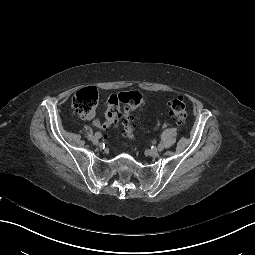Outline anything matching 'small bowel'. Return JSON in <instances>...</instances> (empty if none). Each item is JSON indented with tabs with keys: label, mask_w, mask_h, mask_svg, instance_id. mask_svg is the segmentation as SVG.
Returning a JSON list of instances; mask_svg holds the SVG:
<instances>
[{
	"label": "small bowel",
	"mask_w": 255,
	"mask_h": 255,
	"mask_svg": "<svg viewBox=\"0 0 255 255\" xmlns=\"http://www.w3.org/2000/svg\"><path fill=\"white\" fill-rule=\"evenodd\" d=\"M93 123H94V125H95V126H99V125H100V123H99V121H98V120H94V122H93Z\"/></svg>",
	"instance_id": "c3829d8e"
}]
</instances>
